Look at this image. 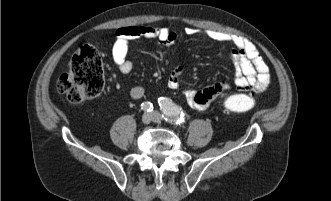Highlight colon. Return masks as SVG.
Here are the masks:
<instances>
[{
    "instance_id": "colon-1",
    "label": "colon",
    "mask_w": 331,
    "mask_h": 201,
    "mask_svg": "<svg viewBox=\"0 0 331 201\" xmlns=\"http://www.w3.org/2000/svg\"><path fill=\"white\" fill-rule=\"evenodd\" d=\"M58 92L71 103L99 96L105 88L103 64L98 52L90 46L79 48L73 55L69 69L57 80ZM256 106V99L247 91L228 96L223 107L228 112H246Z\"/></svg>"
}]
</instances>
